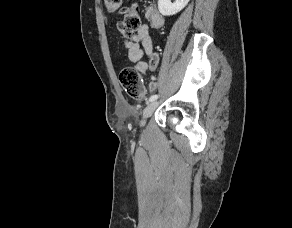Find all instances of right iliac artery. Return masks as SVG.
Listing matches in <instances>:
<instances>
[{
  "instance_id": "82829eb1",
  "label": "right iliac artery",
  "mask_w": 292,
  "mask_h": 228,
  "mask_svg": "<svg viewBox=\"0 0 292 228\" xmlns=\"http://www.w3.org/2000/svg\"><path fill=\"white\" fill-rule=\"evenodd\" d=\"M158 98V95H152L149 99L150 102L155 101Z\"/></svg>"
}]
</instances>
